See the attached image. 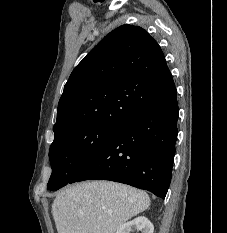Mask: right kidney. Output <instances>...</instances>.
<instances>
[{"mask_svg": "<svg viewBox=\"0 0 227 233\" xmlns=\"http://www.w3.org/2000/svg\"><path fill=\"white\" fill-rule=\"evenodd\" d=\"M134 229L141 231V233H153L154 226L148 218L140 216L120 226L116 233H130Z\"/></svg>", "mask_w": 227, "mask_h": 233, "instance_id": "ca27d5eb", "label": "right kidney"}]
</instances>
